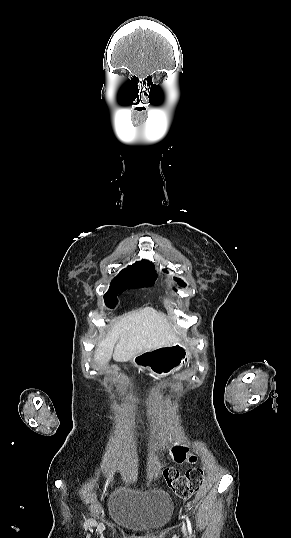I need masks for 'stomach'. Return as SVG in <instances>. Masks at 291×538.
<instances>
[{
    "label": "stomach",
    "instance_id": "obj_1",
    "mask_svg": "<svg viewBox=\"0 0 291 538\" xmlns=\"http://www.w3.org/2000/svg\"><path fill=\"white\" fill-rule=\"evenodd\" d=\"M190 353L180 341L171 346L159 347L136 354L131 362L136 367L148 368L154 375L164 378L174 374L189 361Z\"/></svg>",
    "mask_w": 291,
    "mask_h": 538
}]
</instances>
